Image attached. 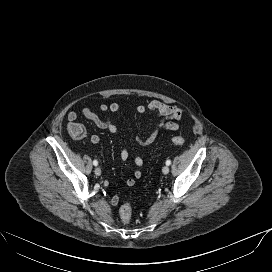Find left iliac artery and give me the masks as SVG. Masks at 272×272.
Wrapping results in <instances>:
<instances>
[{"mask_svg": "<svg viewBox=\"0 0 272 272\" xmlns=\"http://www.w3.org/2000/svg\"><path fill=\"white\" fill-rule=\"evenodd\" d=\"M171 164V161L170 160H167L166 161V165L169 166Z\"/></svg>", "mask_w": 272, "mask_h": 272, "instance_id": "1", "label": "left iliac artery"}]
</instances>
